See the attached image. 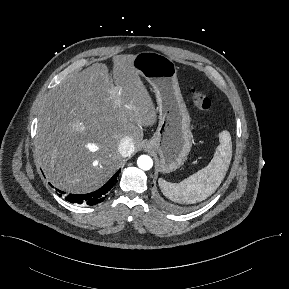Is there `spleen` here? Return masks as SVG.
Returning <instances> with one entry per match:
<instances>
[{"label":"spleen","instance_id":"3e777b00","mask_svg":"<svg viewBox=\"0 0 289 289\" xmlns=\"http://www.w3.org/2000/svg\"><path fill=\"white\" fill-rule=\"evenodd\" d=\"M215 155L210 163L180 183H170L160 178L159 187L164 196L178 203L193 204L211 196L220 186L232 157L231 136L223 131L219 136Z\"/></svg>","mask_w":289,"mask_h":289}]
</instances>
